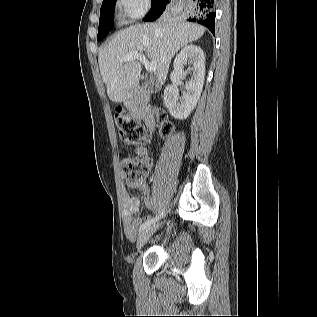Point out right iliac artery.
<instances>
[{
    "instance_id": "1",
    "label": "right iliac artery",
    "mask_w": 317,
    "mask_h": 317,
    "mask_svg": "<svg viewBox=\"0 0 317 317\" xmlns=\"http://www.w3.org/2000/svg\"><path fill=\"white\" fill-rule=\"evenodd\" d=\"M163 212H164V211H162V212H161L158 216H156L155 218H152V219H149V220L145 221V222L140 226L139 231L142 232V231H144L146 228H148L151 224L155 223V222L159 219V217H161V216L163 215Z\"/></svg>"
}]
</instances>
